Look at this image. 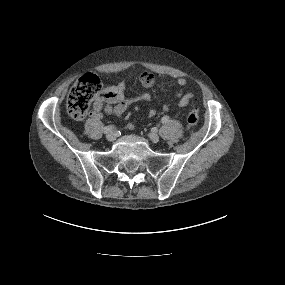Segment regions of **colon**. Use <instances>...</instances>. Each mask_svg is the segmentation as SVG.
<instances>
[{"label": "colon", "mask_w": 285, "mask_h": 285, "mask_svg": "<svg viewBox=\"0 0 285 285\" xmlns=\"http://www.w3.org/2000/svg\"><path fill=\"white\" fill-rule=\"evenodd\" d=\"M102 95V85L100 79L87 73L81 76L72 86L67 100L66 109L70 117L75 120L84 119L91 109L92 104ZM199 120V110L195 101H192L187 114L186 127L188 129L197 125Z\"/></svg>", "instance_id": "5ec220e1"}]
</instances>
